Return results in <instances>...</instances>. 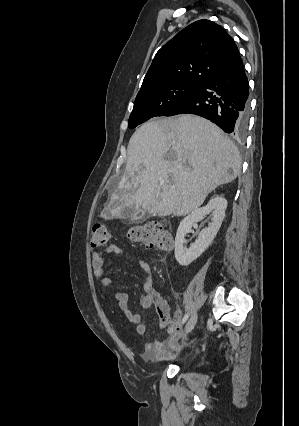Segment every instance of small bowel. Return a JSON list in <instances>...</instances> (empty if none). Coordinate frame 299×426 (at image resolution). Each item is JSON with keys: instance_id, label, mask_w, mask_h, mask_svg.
<instances>
[{"instance_id": "small-bowel-1", "label": "small bowel", "mask_w": 299, "mask_h": 426, "mask_svg": "<svg viewBox=\"0 0 299 426\" xmlns=\"http://www.w3.org/2000/svg\"><path fill=\"white\" fill-rule=\"evenodd\" d=\"M108 253L117 255H127L119 246L111 244ZM137 265L143 272L145 295L142 298V306L148 309L153 305L159 318V328L166 330L167 336L163 340L148 342L144 346L142 357L146 360H170L175 357L178 351V339L180 334V319L182 312L177 310L172 317L168 302L156 290L153 282L152 268L149 263L143 260H136ZM93 275L101 280L103 288L112 285V279L105 275L104 258L101 251H94L92 254ZM115 301L119 308L124 312L127 320L136 326V332L143 335L146 332V319L139 313L132 311L128 303V295L125 292H117Z\"/></svg>"}]
</instances>
